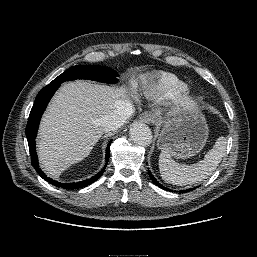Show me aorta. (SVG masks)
<instances>
[{
    "label": "aorta",
    "mask_w": 257,
    "mask_h": 257,
    "mask_svg": "<svg viewBox=\"0 0 257 257\" xmlns=\"http://www.w3.org/2000/svg\"><path fill=\"white\" fill-rule=\"evenodd\" d=\"M131 140L139 145L147 146L152 141V132L150 128L141 122H134L129 130Z\"/></svg>",
    "instance_id": "762f6f07"
}]
</instances>
